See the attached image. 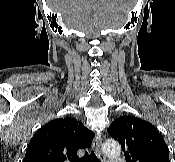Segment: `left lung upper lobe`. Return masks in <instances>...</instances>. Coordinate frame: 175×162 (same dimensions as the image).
<instances>
[{"mask_svg":"<svg viewBox=\"0 0 175 162\" xmlns=\"http://www.w3.org/2000/svg\"><path fill=\"white\" fill-rule=\"evenodd\" d=\"M119 141L127 162H170L168 147L157 128L133 116H121L108 129Z\"/></svg>","mask_w":175,"mask_h":162,"instance_id":"left-lung-upper-lobe-1","label":"left lung upper lobe"}]
</instances>
